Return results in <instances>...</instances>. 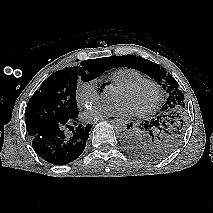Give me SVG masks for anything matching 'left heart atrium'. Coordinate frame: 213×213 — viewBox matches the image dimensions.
<instances>
[{"mask_svg":"<svg viewBox=\"0 0 213 213\" xmlns=\"http://www.w3.org/2000/svg\"><path fill=\"white\" fill-rule=\"evenodd\" d=\"M133 112L129 104L120 101L112 105L97 104L92 106L84 113V118L87 121H93L109 116H129Z\"/></svg>","mask_w":213,"mask_h":213,"instance_id":"39dd6f15","label":"left heart atrium"}]
</instances>
